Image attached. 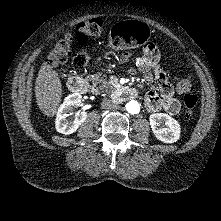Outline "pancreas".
<instances>
[{
    "instance_id": "obj_1",
    "label": "pancreas",
    "mask_w": 221,
    "mask_h": 221,
    "mask_svg": "<svg viewBox=\"0 0 221 221\" xmlns=\"http://www.w3.org/2000/svg\"><path fill=\"white\" fill-rule=\"evenodd\" d=\"M88 78L93 82L94 87H96V93H100V91L103 92V90H108V88L112 87L111 83L107 81L106 75L102 76V73L89 75Z\"/></svg>"
}]
</instances>
